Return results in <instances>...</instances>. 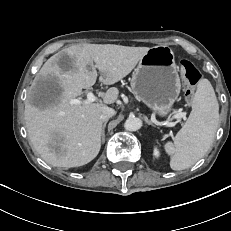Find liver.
<instances>
[{
    "mask_svg": "<svg viewBox=\"0 0 231 231\" xmlns=\"http://www.w3.org/2000/svg\"><path fill=\"white\" fill-rule=\"evenodd\" d=\"M148 47L115 44H79L51 56L37 73L34 86L53 81L60 89L54 101L42 108L25 103V122L30 141L41 158L55 167H78L92 161L101 148V113L118 99L119 90L109 88L103 100L71 104L82 89L99 81L113 85L127 76L148 52ZM95 63V64H94Z\"/></svg>",
    "mask_w": 231,
    "mask_h": 231,
    "instance_id": "1",
    "label": "liver"
}]
</instances>
